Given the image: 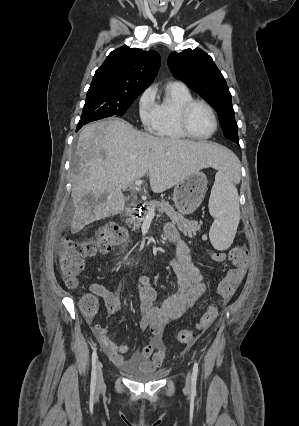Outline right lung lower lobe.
<instances>
[{
  "label": "right lung lower lobe",
  "mask_w": 299,
  "mask_h": 426,
  "mask_svg": "<svg viewBox=\"0 0 299 426\" xmlns=\"http://www.w3.org/2000/svg\"><path fill=\"white\" fill-rule=\"evenodd\" d=\"M89 123V122H88ZM85 124H87V123H78V126H77V130H79L83 125H85Z\"/></svg>",
  "instance_id": "right-lung-lower-lobe-1"
}]
</instances>
